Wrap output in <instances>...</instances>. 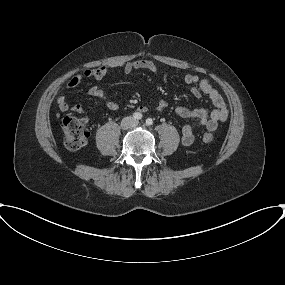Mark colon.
<instances>
[{
  "label": "colon",
  "mask_w": 285,
  "mask_h": 285,
  "mask_svg": "<svg viewBox=\"0 0 285 285\" xmlns=\"http://www.w3.org/2000/svg\"><path fill=\"white\" fill-rule=\"evenodd\" d=\"M61 127L64 134V143L68 149L78 150L87 144L89 131L82 118L65 116L61 121ZM202 140L207 144L212 143L214 141L213 133L204 132Z\"/></svg>",
  "instance_id": "colon-1"
}]
</instances>
